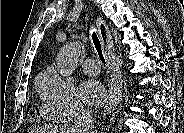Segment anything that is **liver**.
<instances>
[{
  "mask_svg": "<svg viewBox=\"0 0 184 133\" xmlns=\"http://www.w3.org/2000/svg\"><path fill=\"white\" fill-rule=\"evenodd\" d=\"M35 133H74L73 129L70 127H62V128H50V127H42L34 130Z\"/></svg>",
  "mask_w": 184,
  "mask_h": 133,
  "instance_id": "liver-1",
  "label": "liver"
}]
</instances>
